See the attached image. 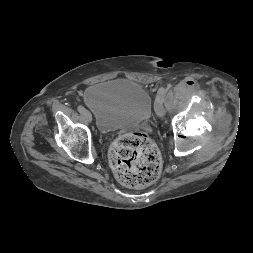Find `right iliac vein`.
I'll use <instances>...</instances> for the list:
<instances>
[{"mask_svg": "<svg viewBox=\"0 0 253 253\" xmlns=\"http://www.w3.org/2000/svg\"><path fill=\"white\" fill-rule=\"evenodd\" d=\"M82 115L85 117L86 121L91 122L92 120V115L88 110H85Z\"/></svg>", "mask_w": 253, "mask_h": 253, "instance_id": "63e3f726", "label": "right iliac vein"}]
</instances>
